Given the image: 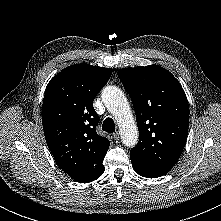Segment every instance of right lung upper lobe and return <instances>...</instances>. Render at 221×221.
Wrapping results in <instances>:
<instances>
[{
	"label": "right lung upper lobe",
	"instance_id": "obj_1",
	"mask_svg": "<svg viewBox=\"0 0 221 221\" xmlns=\"http://www.w3.org/2000/svg\"><path fill=\"white\" fill-rule=\"evenodd\" d=\"M112 74L111 68L75 64L48 83L42 105L47 145L60 168L77 182L99 178L110 141L96 133L99 117L93 100Z\"/></svg>",
	"mask_w": 221,
	"mask_h": 221
}]
</instances>
